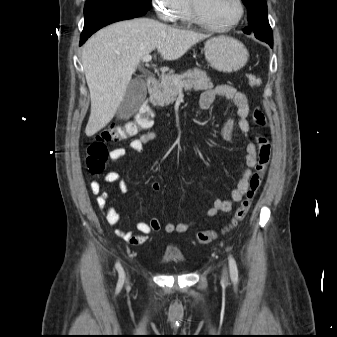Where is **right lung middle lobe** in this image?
I'll list each match as a JSON object with an SVG mask.
<instances>
[{
	"instance_id": "1",
	"label": "right lung middle lobe",
	"mask_w": 337,
	"mask_h": 337,
	"mask_svg": "<svg viewBox=\"0 0 337 337\" xmlns=\"http://www.w3.org/2000/svg\"><path fill=\"white\" fill-rule=\"evenodd\" d=\"M110 5L149 10L151 7V0H86L84 16H86L91 11Z\"/></svg>"
}]
</instances>
